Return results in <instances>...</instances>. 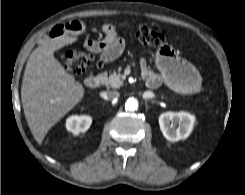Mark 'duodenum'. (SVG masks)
Here are the masks:
<instances>
[{"label":"duodenum","mask_w":245,"mask_h":195,"mask_svg":"<svg viewBox=\"0 0 245 195\" xmlns=\"http://www.w3.org/2000/svg\"><path fill=\"white\" fill-rule=\"evenodd\" d=\"M84 83H85L86 87H88L90 89H95L101 85L102 78L99 76L91 75L85 79ZM145 83H146L147 87L152 88V89L157 88L160 84L159 80L155 79V78H149V79L145 78Z\"/></svg>","instance_id":"obj_1"}]
</instances>
